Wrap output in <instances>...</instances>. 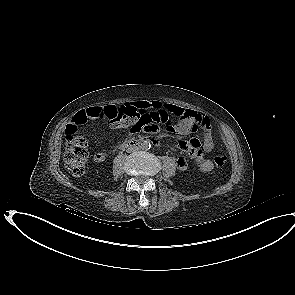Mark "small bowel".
<instances>
[{"label":"small bowel","instance_id":"1","mask_svg":"<svg viewBox=\"0 0 295 295\" xmlns=\"http://www.w3.org/2000/svg\"><path fill=\"white\" fill-rule=\"evenodd\" d=\"M138 110H152L154 112L164 111L166 114L173 115L179 118L174 131L179 134H188L197 129L204 132L203 140L199 138H191L190 140H177L173 143L175 147L186 152L192 158L197 167L202 172H209L214 165L210 159L204 157L214 148V139L211 132L210 118L197 111L190 110L173 104H162L155 100L137 101L130 104ZM103 115L102 107L92 106L78 111L71 120L68 126H83L88 121L97 119ZM108 153L105 151L97 152L93 155V160L96 163H102L106 160ZM179 170L185 171L188 168V163L185 157H179L176 161Z\"/></svg>","mask_w":295,"mask_h":295}]
</instances>
